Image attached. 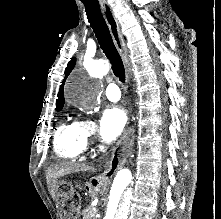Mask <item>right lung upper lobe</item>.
I'll use <instances>...</instances> for the list:
<instances>
[{
  "label": "right lung upper lobe",
  "instance_id": "cb5924a9",
  "mask_svg": "<svg viewBox=\"0 0 221 219\" xmlns=\"http://www.w3.org/2000/svg\"><path fill=\"white\" fill-rule=\"evenodd\" d=\"M75 61H76V59L72 58V60L68 63V65L66 67L65 78L62 82V85L60 86L59 93H58V99L56 101V110H58V111H60L63 108V105H64L63 85H64V82H65L67 76L70 74V72L74 68Z\"/></svg>",
  "mask_w": 221,
  "mask_h": 219
}]
</instances>
